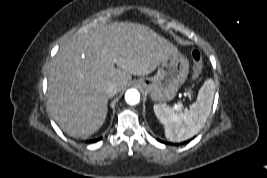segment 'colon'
Instances as JSON below:
<instances>
[{
    "instance_id": "1",
    "label": "colon",
    "mask_w": 267,
    "mask_h": 178,
    "mask_svg": "<svg viewBox=\"0 0 267 178\" xmlns=\"http://www.w3.org/2000/svg\"><path fill=\"white\" fill-rule=\"evenodd\" d=\"M191 59L193 62V75L194 77H198L203 68V57L201 52L198 49H193L191 51Z\"/></svg>"
}]
</instances>
